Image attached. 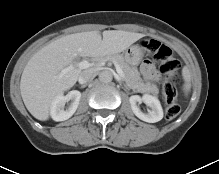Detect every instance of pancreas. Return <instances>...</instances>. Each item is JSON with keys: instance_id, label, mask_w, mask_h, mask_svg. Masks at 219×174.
Returning a JSON list of instances; mask_svg holds the SVG:
<instances>
[{"instance_id": "cf45deb5", "label": "pancreas", "mask_w": 219, "mask_h": 174, "mask_svg": "<svg viewBox=\"0 0 219 174\" xmlns=\"http://www.w3.org/2000/svg\"><path fill=\"white\" fill-rule=\"evenodd\" d=\"M102 59L116 61L120 65L124 73L123 79L131 89L136 90L138 92L158 94V87L150 82H144L141 79L137 68L131 67L122 55L112 54L107 55L105 58Z\"/></svg>"}]
</instances>
